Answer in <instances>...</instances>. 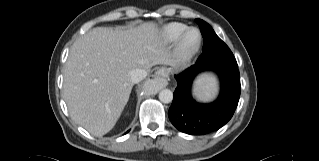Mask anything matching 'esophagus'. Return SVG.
I'll list each match as a JSON object with an SVG mask.
<instances>
[{
  "label": "esophagus",
  "mask_w": 319,
  "mask_h": 161,
  "mask_svg": "<svg viewBox=\"0 0 319 161\" xmlns=\"http://www.w3.org/2000/svg\"><path fill=\"white\" fill-rule=\"evenodd\" d=\"M148 82L152 83L154 88L157 90L162 89L168 84L167 79L163 76L161 71H157L153 75L149 76Z\"/></svg>",
  "instance_id": "34e87169"
}]
</instances>
